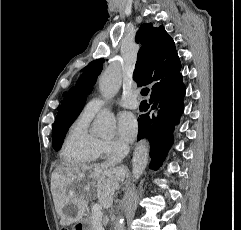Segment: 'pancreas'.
I'll list each match as a JSON object with an SVG mask.
<instances>
[{"instance_id": "cf45deb5", "label": "pancreas", "mask_w": 241, "mask_h": 230, "mask_svg": "<svg viewBox=\"0 0 241 230\" xmlns=\"http://www.w3.org/2000/svg\"><path fill=\"white\" fill-rule=\"evenodd\" d=\"M87 222L91 224L92 230H99V228L93 223L92 216L86 218Z\"/></svg>"}]
</instances>
